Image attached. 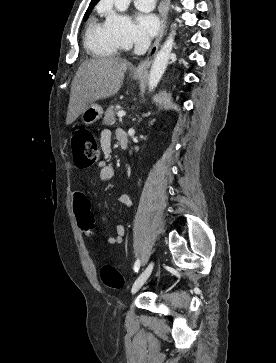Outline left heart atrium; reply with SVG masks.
<instances>
[{"label":"left heart atrium","mask_w":276,"mask_h":363,"mask_svg":"<svg viewBox=\"0 0 276 363\" xmlns=\"http://www.w3.org/2000/svg\"><path fill=\"white\" fill-rule=\"evenodd\" d=\"M137 27L144 38H151L158 33L160 20L153 13H139L137 15Z\"/></svg>","instance_id":"1"}]
</instances>
